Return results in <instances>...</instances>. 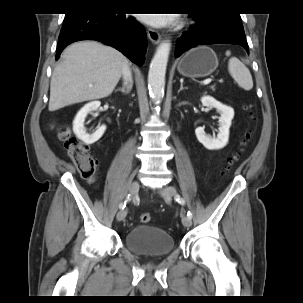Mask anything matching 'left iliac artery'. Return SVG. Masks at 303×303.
Returning <instances> with one entry per match:
<instances>
[{"instance_id": "44dca946", "label": "left iliac artery", "mask_w": 303, "mask_h": 303, "mask_svg": "<svg viewBox=\"0 0 303 303\" xmlns=\"http://www.w3.org/2000/svg\"><path fill=\"white\" fill-rule=\"evenodd\" d=\"M176 201L182 205L185 204V200L183 198H181L180 196H176ZM187 216L192 218V213L190 211H188Z\"/></svg>"}]
</instances>
